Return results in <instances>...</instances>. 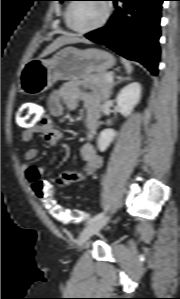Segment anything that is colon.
I'll return each instance as SVG.
<instances>
[{
	"instance_id": "obj_1",
	"label": "colon",
	"mask_w": 180,
	"mask_h": 299,
	"mask_svg": "<svg viewBox=\"0 0 180 299\" xmlns=\"http://www.w3.org/2000/svg\"><path fill=\"white\" fill-rule=\"evenodd\" d=\"M44 118V110L39 105L23 107L18 112L19 125L23 128H30L37 125ZM33 191L38 200L61 222L79 223L87 217V214L81 209H65L57 205L54 200L53 187L49 183L36 182L33 184Z\"/></svg>"
}]
</instances>
